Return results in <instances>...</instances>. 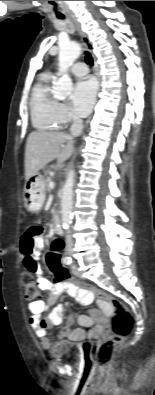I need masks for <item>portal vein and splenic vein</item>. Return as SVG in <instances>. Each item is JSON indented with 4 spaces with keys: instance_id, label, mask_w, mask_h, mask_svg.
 <instances>
[{
    "instance_id": "18ae733b",
    "label": "portal vein and splenic vein",
    "mask_w": 155,
    "mask_h": 395,
    "mask_svg": "<svg viewBox=\"0 0 155 395\" xmlns=\"http://www.w3.org/2000/svg\"><path fill=\"white\" fill-rule=\"evenodd\" d=\"M49 187L50 188H53L54 187V183L51 181V182H49Z\"/></svg>"
}]
</instances>
